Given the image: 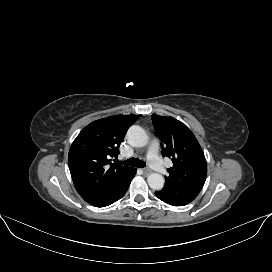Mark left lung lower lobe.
<instances>
[{
  "label": "left lung lower lobe",
  "mask_w": 272,
  "mask_h": 272,
  "mask_svg": "<svg viewBox=\"0 0 272 272\" xmlns=\"http://www.w3.org/2000/svg\"><path fill=\"white\" fill-rule=\"evenodd\" d=\"M199 188H182L164 186L161 191L155 192L156 196L163 202L173 206H184L193 201L199 194Z\"/></svg>",
  "instance_id": "1"
}]
</instances>
